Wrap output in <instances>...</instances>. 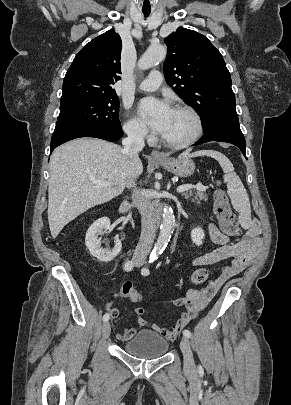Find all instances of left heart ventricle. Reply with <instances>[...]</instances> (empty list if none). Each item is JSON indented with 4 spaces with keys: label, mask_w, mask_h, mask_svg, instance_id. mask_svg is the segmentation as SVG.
<instances>
[{
    "label": "left heart ventricle",
    "mask_w": 291,
    "mask_h": 405,
    "mask_svg": "<svg viewBox=\"0 0 291 405\" xmlns=\"http://www.w3.org/2000/svg\"><path fill=\"white\" fill-rule=\"evenodd\" d=\"M194 132V121L185 111L172 109L169 122L162 136L170 141H183Z\"/></svg>",
    "instance_id": "b2bd125f"
}]
</instances>
